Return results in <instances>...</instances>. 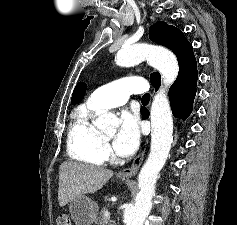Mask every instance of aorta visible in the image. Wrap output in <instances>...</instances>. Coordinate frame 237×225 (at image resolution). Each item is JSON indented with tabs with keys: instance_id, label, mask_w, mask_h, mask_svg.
<instances>
[{
	"instance_id": "aorta-1",
	"label": "aorta",
	"mask_w": 237,
	"mask_h": 225,
	"mask_svg": "<svg viewBox=\"0 0 237 225\" xmlns=\"http://www.w3.org/2000/svg\"><path fill=\"white\" fill-rule=\"evenodd\" d=\"M145 60L161 73L163 86L152 103L150 153L138 176L139 193L135 202L124 210L125 225H143L151 210L158 173L166 162L173 141V120L167 89L177 78V59L169 50L149 44L123 47L116 55L119 66L136 65ZM95 125L106 132L114 131L118 118L112 113H104L97 118Z\"/></svg>"
}]
</instances>
